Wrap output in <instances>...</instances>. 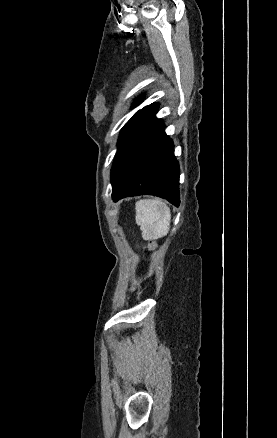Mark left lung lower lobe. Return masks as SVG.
I'll return each mask as SVG.
<instances>
[{"label": "left lung lower lobe", "instance_id": "0a47b994", "mask_svg": "<svg viewBox=\"0 0 277 438\" xmlns=\"http://www.w3.org/2000/svg\"><path fill=\"white\" fill-rule=\"evenodd\" d=\"M158 104L144 107L133 128L130 147L112 185L113 201L149 194L180 205L179 165L174 145L164 133V125L155 117Z\"/></svg>", "mask_w": 277, "mask_h": 438}]
</instances>
